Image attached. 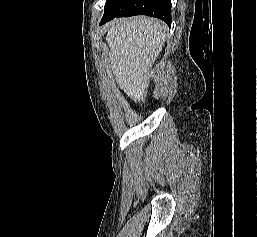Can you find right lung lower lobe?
<instances>
[{
	"label": "right lung lower lobe",
	"instance_id": "1",
	"mask_svg": "<svg viewBox=\"0 0 257 237\" xmlns=\"http://www.w3.org/2000/svg\"><path fill=\"white\" fill-rule=\"evenodd\" d=\"M171 0H114L105 8L100 24L114 18L148 15L162 19L171 25Z\"/></svg>",
	"mask_w": 257,
	"mask_h": 237
}]
</instances>
